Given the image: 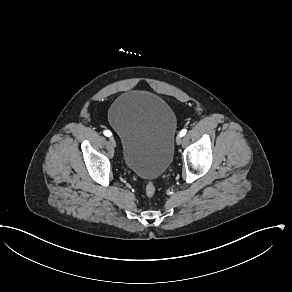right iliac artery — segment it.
<instances>
[{"label":"right iliac artery","mask_w":292,"mask_h":292,"mask_svg":"<svg viewBox=\"0 0 292 292\" xmlns=\"http://www.w3.org/2000/svg\"><path fill=\"white\" fill-rule=\"evenodd\" d=\"M104 135L107 136V137H110L112 135V133L109 130H105L104 131Z\"/></svg>","instance_id":"right-iliac-artery-1"}]
</instances>
